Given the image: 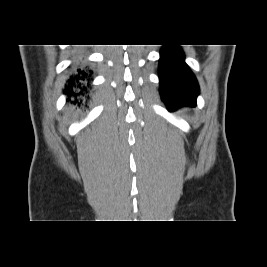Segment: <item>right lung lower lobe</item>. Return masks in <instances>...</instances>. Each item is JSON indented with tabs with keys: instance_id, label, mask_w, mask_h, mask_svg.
<instances>
[{
	"instance_id": "1",
	"label": "right lung lower lobe",
	"mask_w": 267,
	"mask_h": 267,
	"mask_svg": "<svg viewBox=\"0 0 267 267\" xmlns=\"http://www.w3.org/2000/svg\"><path fill=\"white\" fill-rule=\"evenodd\" d=\"M92 72L76 62L66 80L63 93L67 95V101L80 105L82 97L87 93L91 83Z\"/></svg>"
}]
</instances>
